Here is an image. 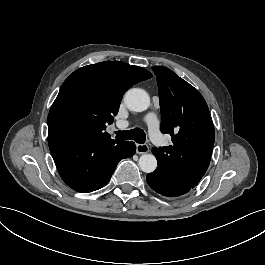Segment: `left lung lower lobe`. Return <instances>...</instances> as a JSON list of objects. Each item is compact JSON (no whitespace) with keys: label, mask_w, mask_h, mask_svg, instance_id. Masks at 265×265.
<instances>
[{"label":"left lung lower lobe","mask_w":265,"mask_h":265,"mask_svg":"<svg viewBox=\"0 0 265 265\" xmlns=\"http://www.w3.org/2000/svg\"><path fill=\"white\" fill-rule=\"evenodd\" d=\"M146 180L155 192L167 197H178L193 189L182 179L159 166L154 172L147 174Z\"/></svg>","instance_id":"left-lung-lower-lobe-1"}]
</instances>
